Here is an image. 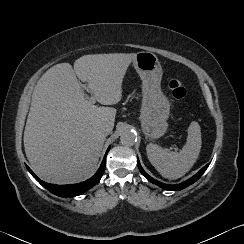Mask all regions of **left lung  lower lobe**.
Listing matches in <instances>:
<instances>
[{
    "label": "left lung lower lobe",
    "instance_id": "1",
    "mask_svg": "<svg viewBox=\"0 0 244 244\" xmlns=\"http://www.w3.org/2000/svg\"><path fill=\"white\" fill-rule=\"evenodd\" d=\"M137 165L138 168L140 170V172L147 178L148 181L158 185L159 187L166 189V190H170V191H178V190H182L186 187H188L189 185L193 184L194 182H196L201 176L202 174L206 171V169L208 168L209 164H207L206 166H204L197 174H195L193 177H191L190 179L178 184V185H167L164 183H161L155 179H153L152 177H150L142 168L139 159L137 158Z\"/></svg>",
    "mask_w": 244,
    "mask_h": 244
}]
</instances>
